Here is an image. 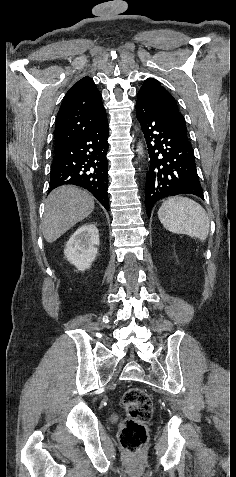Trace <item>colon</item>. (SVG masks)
<instances>
[{
    "label": "colon",
    "instance_id": "obj_1",
    "mask_svg": "<svg viewBox=\"0 0 236 477\" xmlns=\"http://www.w3.org/2000/svg\"><path fill=\"white\" fill-rule=\"evenodd\" d=\"M123 404L126 420L119 430V441L131 457H139L147 440L146 423L151 419L154 406L147 392L139 387L125 391Z\"/></svg>",
    "mask_w": 236,
    "mask_h": 477
}]
</instances>
